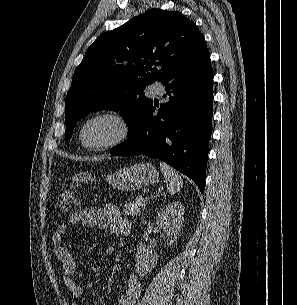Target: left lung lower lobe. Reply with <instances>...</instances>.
<instances>
[{"mask_svg": "<svg viewBox=\"0 0 297 305\" xmlns=\"http://www.w3.org/2000/svg\"><path fill=\"white\" fill-rule=\"evenodd\" d=\"M162 84L169 101H152L111 155L158 158L190 177L203 192L212 133L213 69L210 64L201 72L175 73ZM156 108L159 114L153 116Z\"/></svg>", "mask_w": 297, "mask_h": 305, "instance_id": "left-lung-lower-lobe-1", "label": "left lung lower lobe"}]
</instances>
